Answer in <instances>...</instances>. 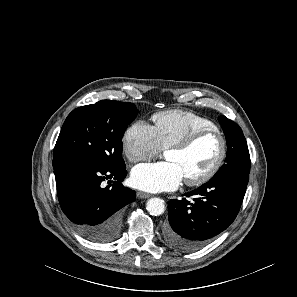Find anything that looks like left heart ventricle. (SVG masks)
<instances>
[{
	"label": "left heart ventricle",
	"mask_w": 297,
	"mask_h": 297,
	"mask_svg": "<svg viewBox=\"0 0 297 297\" xmlns=\"http://www.w3.org/2000/svg\"><path fill=\"white\" fill-rule=\"evenodd\" d=\"M221 151L219 139L214 136H206L187 150L171 149L165 152L168 161L178 163L183 169L185 179L203 174L217 160Z\"/></svg>",
	"instance_id": "b2bd125f"
}]
</instances>
